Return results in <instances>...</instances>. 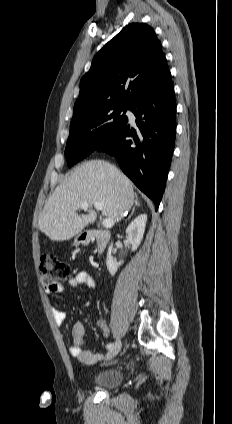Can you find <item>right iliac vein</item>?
I'll return each mask as SVG.
<instances>
[{"label": "right iliac vein", "instance_id": "obj_1", "mask_svg": "<svg viewBox=\"0 0 232 424\" xmlns=\"http://www.w3.org/2000/svg\"><path fill=\"white\" fill-rule=\"evenodd\" d=\"M122 342L120 339L116 340L114 345L109 349L108 353L106 354L107 359H111L115 357L119 351L121 350Z\"/></svg>", "mask_w": 232, "mask_h": 424}]
</instances>
